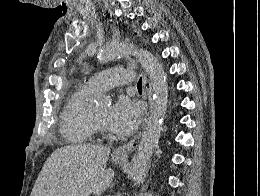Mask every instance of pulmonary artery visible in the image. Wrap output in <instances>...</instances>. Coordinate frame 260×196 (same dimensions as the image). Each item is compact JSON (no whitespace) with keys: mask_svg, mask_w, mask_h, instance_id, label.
<instances>
[{"mask_svg":"<svg viewBox=\"0 0 260 196\" xmlns=\"http://www.w3.org/2000/svg\"><path fill=\"white\" fill-rule=\"evenodd\" d=\"M132 69H103L99 72V76H95V79H90V84L93 90L98 94L103 93L106 90H112L111 84H133L132 76H126V74H132Z\"/></svg>","mask_w":260,"mask_h":196,"instance_id":"obj_1","label":"pulmonary artery"}]
</instances>
